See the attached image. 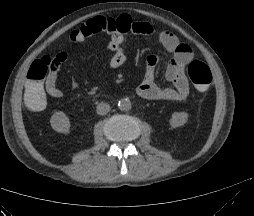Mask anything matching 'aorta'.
I'll return each instance as SVG.
<instances>
[{
  "label": "aorta",
  "mask_w": 254,
  "mask_h": 216,
  "mask_svg": "<svg viewBox=\"0 0 254 216\" xmlns=\"http://www.w3.org/2000/svg\"><path fill=\"white\" fill-rule=\"evenodd\" d=\"M118 107L121 111H129L131 109V101L128 98H123L119 101Z\"/></svg>",
  "instance_id": "obj_1"
}]
</instances>
